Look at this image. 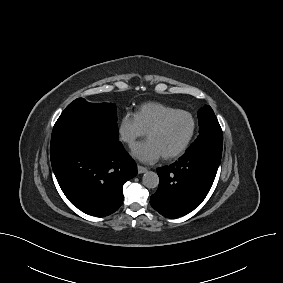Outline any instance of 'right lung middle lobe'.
Returning a JSON list of instances; mask_svg holds the SVG:
<instances>
[{
    "label": "right lung middle lobe",
    "instance_id": "dd1d6c3e",
    "mask_svg": "<svg viewBox=\"0 0 283 283\" xmlns=\"http://www.w3.org/2000/svg\"><path fill=\"white\" fill-rule=\"evenodd\" d=\"M83 127L94 130L110 139H118L116 105L112 103H89L83 98L71 102L62 112L55 128Z\"/></svg>",
    "mask_w": 283,
    "mask_h": 283
}]
</instances>
